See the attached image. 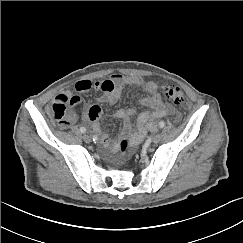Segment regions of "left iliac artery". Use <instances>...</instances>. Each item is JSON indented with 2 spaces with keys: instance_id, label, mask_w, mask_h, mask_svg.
Returning a JSON list of instances; mask_svg holds the SVG:
<instances>
[{
  "instance_id": "obj_1",
  "label": "left iliac artery",
  "mask_w": 243,
  "mask_h": 243,
  "mask_svg": "<svg viewBox=\"0 0 243 243\" xmlns=\"http://www.w3.org/2000/svg\"><path fill=\"white\" fill-rule=\"evenodd\" d=\"M165 126V123L163 121L159 122V127L163 128Z\"/></svg>"
}]
</instances>
